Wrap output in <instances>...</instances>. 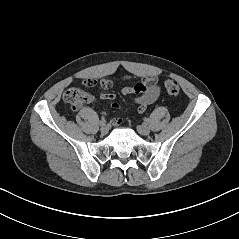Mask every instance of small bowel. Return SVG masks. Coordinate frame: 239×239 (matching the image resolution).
Wrapping results in <instances>:
<instances>
[{
  "label": "small bowel",
  "instance_id": "1",
  "mask_svg": "<svg viewBox=\"0 0 239 239\" xmlns=\"http://www.w3.org/2000/svg\"><path fill=\"white\" fill-rule=\"evenodd\" d=\"M132 76L125 75L121 78V83H129L132 81ZM90 81L96 84V80L89 78L84 81V85H87ZM100 86L104 90H109L114 86L112 80L103 78L100 80ZM161 92V86L159 85L158 78L156 76L150 75L146 76L141 82L134 84L133 86H122L121 93L125 96L130 97L134 103L137 104V113L143 114L147 107L154 103L159 97ZM100 98L107 101H112L115 99V94L111 92H103L100 94ZM89 102L93 101V97L89 96ZM112 108L114 110H120L121 107L117 103H112ZM114 126H118L122 123V119L116 117L112 120Z\"/></svg>",
  "mask_w": 239,
  "mask_h": 239
}]
</instances>
